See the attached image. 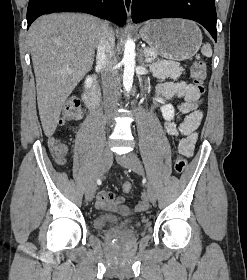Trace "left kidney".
<instances>
[{
	"mask_svg": "<svg viewBox=\"0 0 247 280\" xmlns=\"http://www.w3.org/2000/svg\"><path fill=\"white\" fill-rule=\"evenodd\" d=\"M162 116L165 120L171 121L174 119V107L170 104L163 105L161 108Z\"/></svg>",
	"mask_w": 247,
	"mask_h": 280,
	"instance_id": "left-kidney-1",
	"label": "left kidney"
}]
</instances>
